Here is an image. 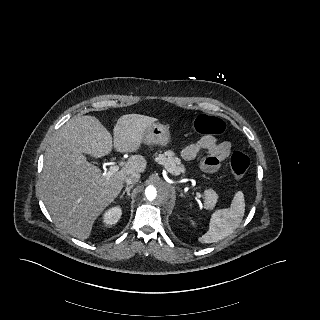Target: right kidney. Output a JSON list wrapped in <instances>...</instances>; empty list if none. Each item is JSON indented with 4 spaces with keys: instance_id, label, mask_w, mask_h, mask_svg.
<instances>
[{
    "instance_id": "ca27d5eb",
    "label": "right kidney",
    "mask_w": 320,
    "mask_h": 320,
    "mask_svg": "<svg viewBox=\"0 0 320 320\" xmlns=\"http://www.w3.org/2000/svg\"><path fill=\"white\" fill-rule=\"evenodd\" d=\"M122 214L119 206L112 207L104 213L103 222L106 226L116 224Z\"/></svg>"
}]
</instances>
